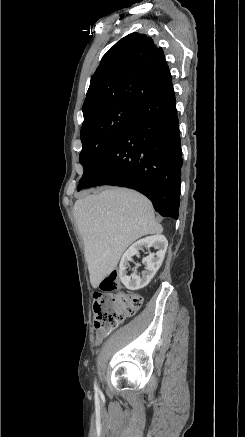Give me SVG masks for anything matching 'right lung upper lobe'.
<instances>
[{
  "label": "right lung upper lobe",
  "mask_w": 245,
  "mask_h": 437,
  "mask_svg": "<svg viewBox=\"0 0 245 437\" xmlns=\"http://www.w3.org/2000/svg\"><path fill=\"white\" fill-rule=\"evenodd\" d=\"M174 93L162 48L145 34L131 33L103 56L91 78L82 111L86 117L104 105L128 102L139 105Z\"/></svg>",
  "instance_id": "right-lung-upper-lobe-1"
}]
</instances>
